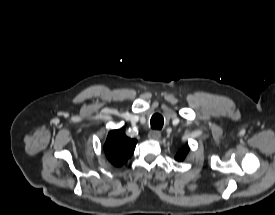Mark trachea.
Instances as JSON below:
<instances>
[{
    "instance_id": "trachea-1",
    "label": "trachea",
    "mask_w": 275,
    "mask_h": 215,
    "mask_svg": "<svg viewBox=\"0 0 275 215\" xmlns=\"http://www.w3.org/2000/svg\"><path fill=\"white\" fill-rule=\"evenodd\" d=\"M150 124L152 129H161L164 124L162 115L158 113L154 114L150 120Z\"/></svg>"
}]
</instances>
